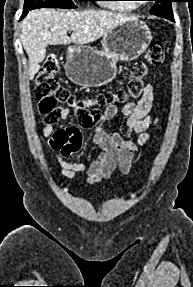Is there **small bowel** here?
<instances>
[{
	"label": "small bowel",
	"instance_id": "obj_1",
	"mask_svg": "<svg viewBox=\"0 0 193 287\" xmlns=\"http://www.w3.org/2000/svg\"><path fill=\"white\" fill-rule=\"evenodd\" d=\"M154 101V90L151 84L145 88L141 99L136 103H125L120 111L125 117L127 132L138 136V143H134L120 134L110 133L100 125L93 127L92 143L99 149L97 158L90 163L68 161L66 156H83L82 145L86 141V127H78L73 122H63L60 127L45 126L40 130L42 136H49L50 147L56 154V161L60 166V173L66 179H72L77 172H86L87 181L98 183L111 177L114 170L119 168L121 173H129L135 152L139 146L145 144L149 138V129L158 123V119L151 116ZM118 113L116 104L105 108L101 120L107 121ZM71 116L69 110H63L57 121H65ZM55 130V132H54ZM51 135V136H50Z\"/></svg>",
	"mask_w": 193,
	"mask_h": 287
}]
</instances>
